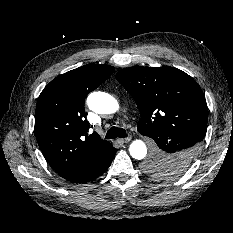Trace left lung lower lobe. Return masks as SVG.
<instances>
[{
    "instance_id": "1",
    "label": "left lung lower lobe",
    "mask_w": 233,
    "mask_h": 233,
    "mask_svg": "<svg viewBox=\"0 0 233 233\" xmlns=\"http://www.w3.org/2000/svg\"><path fill=\"white\" fill-rule=\"evenodd\" d=\"M148 137L156 143L153 153L165 157L175 167L183 171L190 167L198 154L199 144L195 142L196 138L184 132L157 130ZM177 176L179 174L170 171L158 177L172 178Z\"/></svg>"
}]
</instances>
